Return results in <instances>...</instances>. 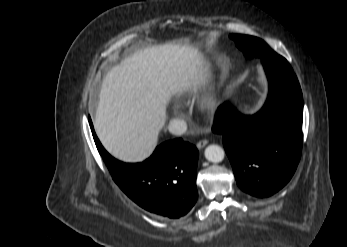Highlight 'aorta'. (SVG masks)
I'll list each match as a JSON object with an SVG mask.
<instances>
[{
  "mask_svg": "<svg viewBox=\"0 0 347 247\" xmlns=\"http://www.w3.org/2000/svg\"><path fill=\"white\" fill-rule=\"evenodd\" d=\"M204 154L206 159L213 163L222 162L225 157V152L223 148L216 144H211L207 146Z\"/></svg>",
  "mask_w": 347,
  "mask_h": 247,
  "instance_id": "1",
  "label": "aorta"
}]
</instances>
